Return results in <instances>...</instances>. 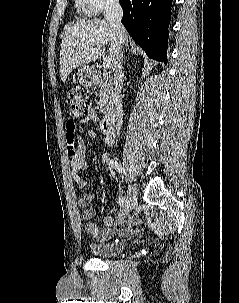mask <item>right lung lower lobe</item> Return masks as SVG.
Segmentation results:
<instances>
[{
	"instance_id": "1",
	"label": "right lung lower lobe",
	"mask_w": 239,
	"mask_h": 303,
	"mask_svg": "<svg viewBox=\"0 0 239 303\" xmlns=\"http://www.w3.org/2000/svg\"><path fill=\"white\" fill-rule=\"evenodd\" d=\"M122 24L149 58L167 64L172 0H119Z\"/></svg>"
}]
</instances>
